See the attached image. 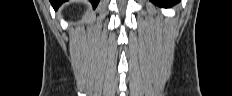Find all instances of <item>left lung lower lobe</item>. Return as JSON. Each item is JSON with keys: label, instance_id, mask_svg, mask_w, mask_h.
I'll return each mask as SVG.
<instances>
[{"label": "left lung lower lobe", "instance_id": "0a47b994", "mask_svg": "<svg viewBox=\"0 0 232 96\" xmlns=\"http://www.w3.org/2000/svg\"><path fill=\"white\" fill-rule=\"evenodd\" d=\"M151 1L156 5H160V6H168L170 4L179 2V0H151Z\"/></svg>", "mask_w": 232, "mask_h": 96}]
</instances>
